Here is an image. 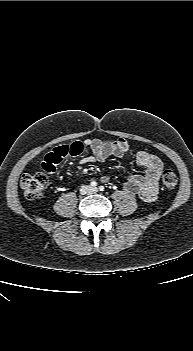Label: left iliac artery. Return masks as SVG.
I'll return each mask as SVG.
<instances>
[{"mask_svg":"<svg viewBox=\"0 0 193 351\" xmlns=\"http://www.w3.org/2000/svg\"><path fill=\"white\" fill-rule=\"evenodd\" d=\"M104 189H105L104 186H100V187H99V190H100V191H104Z\"/></svg>","mask_w":193,"mask_h":351,"instance_id":"left-iliac-artery-1","label":"left iliac artery"}]
</instances>
